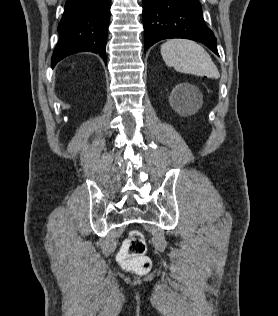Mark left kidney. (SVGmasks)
<instances>
[{
  "mask_svg": "<svg viewBox=\"0 0 278 316\" xmlns=\"http://www.w3.org/2000/svg\"><path fill=\"white\" fill-rule=\"evenodd\" d=\"M199 96V90L189 84L182 83L177 85L171 94V101L176 108L186 107L193 104Z\"/></svg>",
  "mask_w": 278,
  "mask_h": 316,
  "instance_id": "5707ae66",
  "label": "left kidney"
}]
</instances>
